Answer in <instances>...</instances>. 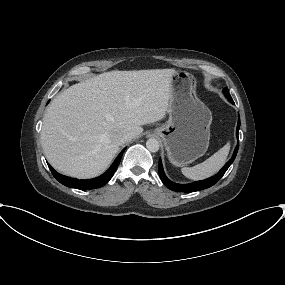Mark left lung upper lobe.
I'll list each match as a JSON object with an SVG mask.
<instances>
[{
  "instance_id": "1",
  "label": "left lung upper lobe",
  "mask_w": 285,
  "mask_h": 285,
  "mask_svg": "<svg viewBox=\"0 0 285 285\" xmlns=\"http://www.w3.org/2000/svg\"><path fill=\"white\" fill-rule=\"evenodd\" d=\"M224 91H225V95H226L228 98H231V96H230V94H229L228 89H227V88H225V89H224Z\"/></svg>"
}]
</instances>
